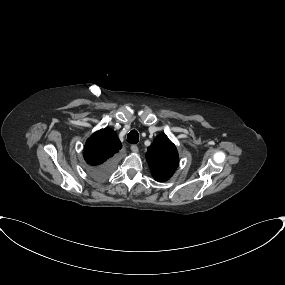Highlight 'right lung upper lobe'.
Returning <instances> with one entry per match:
<instances>
[{
  "mask_svg": "<svg viewBox=\"0 0 285 285\" xmlns=\"http://www.w3.org/2000/svg\"><path fill=\"white\" fill-rule=\"evenodd\" d=\"M121 148L122 144L116 133L110 128H104L87 140L83 156L89 165L97 167L112 159Z\"/></svg>",
  "mask_w": 285,
  "mask_h": 285,
  "instance_id": "cb5924a9",
  "label": "right lung upper lobe"
}]
</instances>
